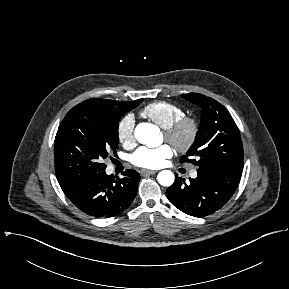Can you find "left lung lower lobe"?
<instances>
[{
	"label": "left lung lower lobe",
	"instance_id": "obj_1",
	"mask_svg": "<svg viewBox=\"0 0 289 289\" xmlns=\"http://www.w3.org/2000/svg\"><path fill=\"white\" fill-rule=\"evenodd\" d=\"M196 179L175 180L167 191L168 200L182 212L204 217L224 206L235 192L241 171L220 166H205L197 169Z\"/></svg>",
	"mask_w": 289,
	"mask_h": 289
}]
</instances>
